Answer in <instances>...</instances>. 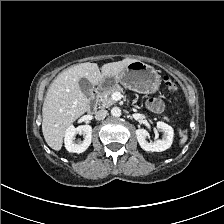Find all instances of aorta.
<instances>
[{"label":"aorta","instance_id":"762f6f07","mask_svg":"<svg viewBox=\"0 0 224 224\" xmlns=\"http://www.w3.org/2000/svg\"><path fill=\"white\" fill-rule=\"evenodd\" d=\"M111 114L113 117H120L121 116V109L119 107H113L111 109Z\"/></svg>","mask_w":224,"mask_h":224}]
</instances>
